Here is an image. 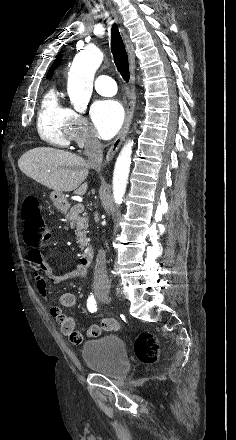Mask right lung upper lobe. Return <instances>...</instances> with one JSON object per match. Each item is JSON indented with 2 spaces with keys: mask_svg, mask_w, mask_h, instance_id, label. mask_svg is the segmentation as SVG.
I'll use <instances>...</instances> for the list:
<instances>
[{
  "mask_svg": "<svg viewBox=\"0 0 236 440\" xmlns=\"http://www.w3.org/2000/svg\"><path fill=\"white\" fill-rule=\"evenodd\" d=\"M61 60H62V55L58 56L57 59L54 61L53 65L51 66V68L48 71L47 77H49L53 73V71L58 67Z\"/></svg>",
  "mask_w": 236,
  "mask_h": 440,
  "instance_id": "cb5924a9",
  "label": "right lung upper lobe"
}]
</instances>
